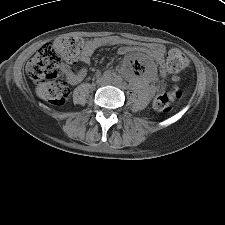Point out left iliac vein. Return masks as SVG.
Instances as JSON below:
<instances>
[{
  "mask_svg": "<svg viewBox=\"0 0 225 225\" xmlns=\"http://www.w3.org/2000/svg\"><path fill=\"white\" fill-rule=\"evenodd\" d=\"M107 83L108 84H111V83H113V84H119L120 82H118L116 79L109 78V79H107Z\"/></svg>",
  "mask_w": 225,
  "mask_h": 225,
  "instance_id": "4c4485c4",
  "label": "left iliac vein"
}]
</instances>
